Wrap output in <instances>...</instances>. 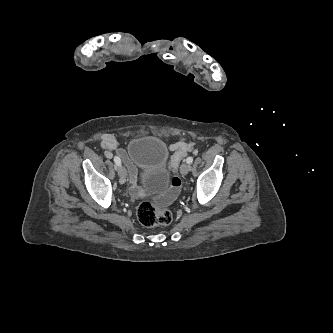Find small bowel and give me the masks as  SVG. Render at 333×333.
I'll return each instance as SVG.
<instances>
[{"label": "small bowel", "mask_w": 333, "mask_h": 333, "mask_svg": "<svg viewBox=\"0 0 333 333\" xmlns=\"http://www.w3.org/2000/svg\"><path fill=\"white\" fill-rule=\"evenodd\" d=\"M101 145L105 149L107 157H110L111 152L115 151L123 159L128 168L130 181L132 183L131 192L133 195H139L140 191L137 186V169L135 165L127 158L124 151L119 147L115 136L112 134L103 135L101 138ZM169 149L174 151V154L167 160V166L172 171H175L178 168L181 161L190 152H196V150H194L193 143L186 138H181L170 144ZM173 183L175 186H177L180 184V181L175 177L173 179Z\"/></svg>", "instance_id": "c3829d8e"}]
</instances>
